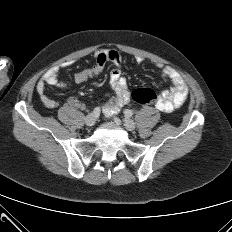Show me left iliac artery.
I'll return each mask as SVG.
<instances>
[{
    "instance_id": "1",
    "label": "left iliac artery",
    "mask_w": 232,
    "mask_h": 232,
    "mask_svg": "<svg viewBox=\"0 0 232 232\" xmlns=\"http://www.w3.org/2000/svg\"><path fill=\"white\" fill-rule=\"evenodd\" d=\"M124 114H125V116H127V117H132V116H133V112H132L131 110H129V109H126V110L124 111Z\"/></svg>"
}]
</instances>
